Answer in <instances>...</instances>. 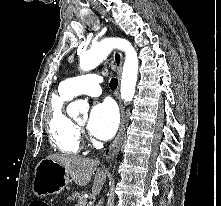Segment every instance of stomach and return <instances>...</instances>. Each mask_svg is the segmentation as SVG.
<instances>
[{"instance_id": "stomach-1", "label": "stomach", "mask_w": 221, "mask_h": 206, "mask_svg": "<svg viewBox=\"0 0 221 206\" xmlns=\"http://www.w3.org/2000/svg\"><path fill=\"white\" fill-rule=\"evenodd\" d=\"M69 182L70 178L64 166L45 158L35 168L32 190L38 197L56 194L63 191Z\"/></svg>"}]
</instances>
